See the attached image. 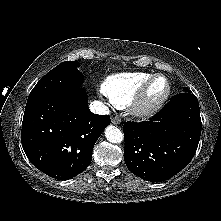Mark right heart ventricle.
Here are the masks:
<instances>
[{"instance_id": "e07e8e85", "label": "right heart ventricle", "mask_w": 221, "mask_h": 221, "mask_svg": "<svg viewBox=\"0 0 221 221\" xmlns=\"http://www.w3.org/2000/svg\"><path fill=\"white\" fill-rule=\"evenodd\" d=\"M152 75L140 71L112 74L103 80L101 91L114 106L123 108L131 103L143 83Z\"/></svg>"}]
</instances>
